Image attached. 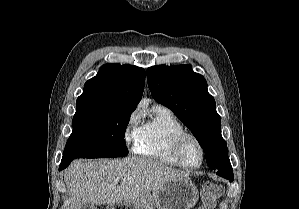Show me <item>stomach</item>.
<instances>
[{"label": "stomach", "mask_w": 299, "mask_h": 209, "mask_svg": "<svg viewBox=\"0 0 299 209\" xmlns=\"http://www.w3.org/2000/svg\"><path fill=\"white\" fill-rule=\"evenodd\" d=\"M199 199L196 186L189 177L169 181L120 209H192ZM125 207V208H124ZM107 209H116L110 205Z\"/></svg>", "instance_id": "0dacf381"}]
</instances>
